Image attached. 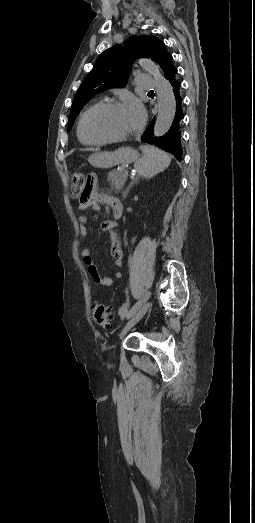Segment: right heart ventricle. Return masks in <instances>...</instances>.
<instances>
[{
  "mask_svg": "<svg viewBox=\"0 0 255 523\" xmlns=\"http://www.w3.org/2000/svg\"><path fill=\"white\" fill-rule=\"evenodd\" d=\"M77 132H78V137H79V139H80V141H81L82 143H84V144H92V142H89V141H87L85 138L82 137V135H81V133H80V130H79V126H78V131H77Z\"/></svg>",
  "mask_w": 255,
  "mask_h": 523,
  "instance_id": "right-heart-ventricle-1",
  "label": "right heart ventricle"
}]
</instances>
